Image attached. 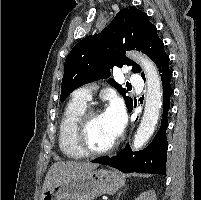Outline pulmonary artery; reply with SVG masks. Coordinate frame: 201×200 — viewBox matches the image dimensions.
Returning <instances> with one entry per match:
<instances>
[{
    "label": "pulmonary artery",
    "instance_id": "e3ab8cb5",
    "mask_svg": "<svg viewBox=\"0 0 201 200\" xmlns=\"http://www.w3.org/2000/svg\"><path fill=\"white\" fill-rule=\"evenodd\" d=\"M129 81L136 87H142L143 82L140 74L133 73L129 76ZM93 87L87 86L80 88L74 92V96L78 99L89 101L91 99Z\"/></svg>",
    "mask_w": 201,
    "mask_h": 200
}]
</instances>
